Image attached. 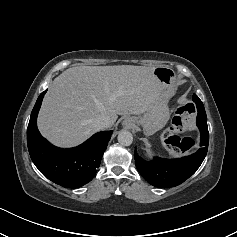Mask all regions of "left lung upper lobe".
<instances>
[{
  "mask_svg": "<svg viewBox=\"0 0 237 237\" xmlns=\"http://www.w3.org/2000/svg\"><path fill=\"white\" fill-rule=\"evenodd\" d=\"M193 101L196 104L198 113H205V109H204L203 103H202V101L199 99V97L197 95H193Z\"/></svg>",
  "mask_w": 237,
  "mask_h": 237,
  "instance_id": "1",
  "label": "left lung upper lobe"
}]
</instances>
